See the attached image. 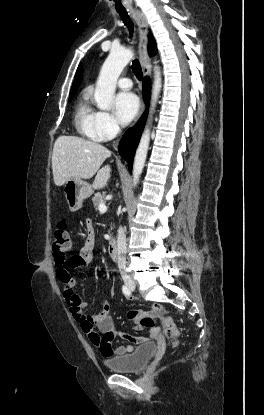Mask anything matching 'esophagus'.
Instances as JSON below:
<instances>
[{
	"label": "esophagus",
	"mask_w": 264,
	"mask_h": 415,
	"mask_svg": "<svg viewBox=\"0 0 264 415\" xmlns=\"http://www.w3.org/2000/svg\"><path fill=\"white\" fill-rule=\"evenodd\" d=\"M132 17L134 18L139 32V44H138V52H139V60L142 66V70L145 76L149 74V70L146 67L148 63V54H147V34H148V23L146 20L145 15L139 11H132ZM145 105L144 102L141 104L140 111L136 117L135 122L140 118L144 111Z\"/></svg>",
	"instance_id": "1"
}]
</instances>
